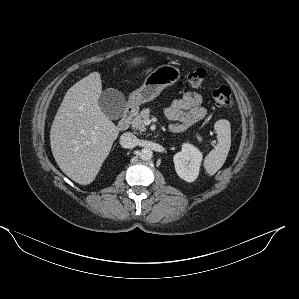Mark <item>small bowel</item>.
Returning a JSON list of instances; mask_svg holds the SVG:
<instances>
[{
	"label": "small bowel",
	"mask_w": 299,
	"mask_h": 299,
	"mask_svg": "<svg viewBox=\"0 0 299 299\" xmlns=\"http://www.w3.org/2000/svg\"><path fill=\"white\" fill-rule=\"evenodd\" d=\"M165 114L174 122L170 126V130L178 133L204 119L207 115V109L203 105L202 95L191 91L185 93L181 98L174 100L166 108Z\"/></svg>",
	"instance_id": "small-bowel-1"
}]
</instances>
